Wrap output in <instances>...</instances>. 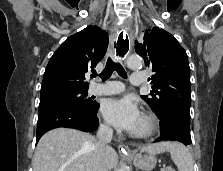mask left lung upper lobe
Instances as JSON below:
<instances>
[{"mask_svg": "<svg viewBox=\"0 0 223 171\" xmlns=\"http://www.w3.org/2000/svg\"><path fill=\"white\" fill-rule=\"evenodd\" d=\"M136 52L143 57L153 75L149 96H141L160 119L170 108L190 114V67L185 50L173 35L158 27L144 33L142 43L135 42Z\"/></svg>", "mask_w": 223, "mask_h": 171, "instance_id": "5c2ea615", "label": "left lung upper lobe"}]
</instances>
